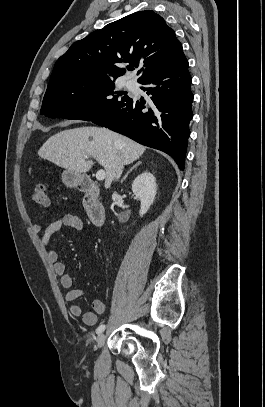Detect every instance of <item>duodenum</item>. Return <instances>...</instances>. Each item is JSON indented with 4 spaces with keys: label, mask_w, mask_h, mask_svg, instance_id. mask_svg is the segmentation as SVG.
<instances>
[{
    "label": "duodenum",
    "mask_w": 265,
    "mask_h": 407,
    "mask_svg": "<svg viewBox=\"0 0 265 407\" xmlns=\"http://www.w3.org/2000/svg\"><path fill=\"white\" fill-rule=\"evenodd\" d=\"M79 189L84 193V206L91 222L99 227L106 220V211L99 201V188L90 178L79 181Z\"/></svg>",
    "instance_id": "1"
}]
</instances>
